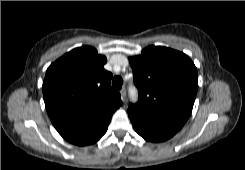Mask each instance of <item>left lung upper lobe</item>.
<instances>
[{
	"instance_id": "left-lung-upper-lobe-1",
	"label": "left lung upper lobe",
	"mask_w": 245,
	"mask_h": 170,
	"mask_svg": "<svg viewBox=\"0 0 245 170\" xmlns=\"http://www.w3.org/2000/svg\"><path fill=\"white\" fill-rule=\"evenodd\" d=\"M137 104L128 111L176 128L188 120L198 89L197 69L184 53L161 46H149L130 57Z\"/></svg>"
}]
</instances>
